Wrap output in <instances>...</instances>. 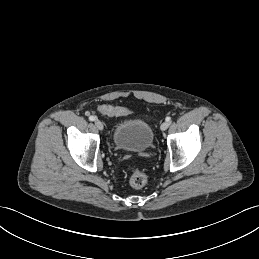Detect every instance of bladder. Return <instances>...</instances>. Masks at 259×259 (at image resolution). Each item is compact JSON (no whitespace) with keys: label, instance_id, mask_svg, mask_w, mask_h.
Returning <instances> with one entry per match:
<instances>
[{"label":"bladder","instance_id":"1","mask_svg":"<svg viewBox=\"0 0 259 259\" xmlns=\"http://www.w3.org/2000/svg\"><path fill=\"white\" fill-rule=\"evenodd\" d=\"M153 142L150 125L141 119H126L119 122L113 131V143L122 150L141 153Z\"/></svg>","mask_w":259,"mask_h":259}]
</instances>
